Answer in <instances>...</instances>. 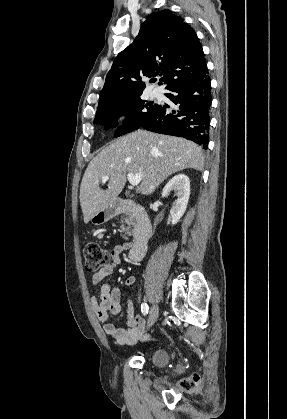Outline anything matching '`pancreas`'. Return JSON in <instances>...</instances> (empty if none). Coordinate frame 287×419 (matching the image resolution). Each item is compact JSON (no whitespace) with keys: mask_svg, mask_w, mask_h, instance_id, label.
I'll return each instance as SVG.
<instances>
[{"mask_svg":"<svg viewBox=\"0 0 287 419\" xmlns=\"http://www.w3.org/2000/svg\"><path fill=\"white\" fill-rule=\"evenodd\" d=\"M123 217H124L125 223L129 226V227H124V226L122 227V230L126 235V234L129 233L130 226L135 225V223H134L133 219L130 217L129 214L124 213Z\"/></svg>","mask_w":287,"mask_h":419,"instance_id":"cf45deb5","label":"pancreas"}]
</instances>
